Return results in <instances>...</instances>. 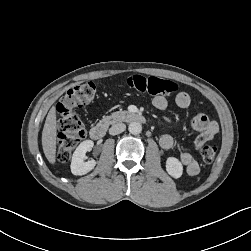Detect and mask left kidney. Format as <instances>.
I'll list each match as a JSON object with an SVG mask.
<instances>
[{
    "label": "left kidney",
    "instance_id": "5707ae66",
    "mask_svg": "<svg viewBox=\"0 0 251 251\" xmlns=\"http://www.w3.org/2000/svg\"><path fill=\"white\" fill-rule=\"evenodd\" d=\"M166 171L173 178H180L183 173L181 162L175 157H168L166 160Z\"/></svg>",
    "mask_w": 251,
    "mask_h": 251
}]
</instances>
